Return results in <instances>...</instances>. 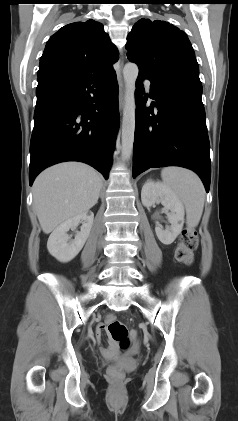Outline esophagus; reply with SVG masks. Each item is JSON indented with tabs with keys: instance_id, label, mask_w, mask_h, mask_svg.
Segmentation results:
<instances>
[{
	"instance_id": "esophagus-1",
	"label": "esophagus",
	"mask_w": 238,
	"mask_h": 421,
	"mask_svg": "<svg viewBox=\"0 0 238 421\" xmlns=\"http://www.w3.org/2000/svg\"><path fill=\"white\" fill-rule=\"evenodd\" d=\"M122 67L123 61H120V70H119V108L122 109L124 105V81L122 78Z\"/></svg>"
}]
</instances>
